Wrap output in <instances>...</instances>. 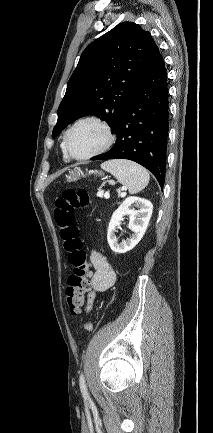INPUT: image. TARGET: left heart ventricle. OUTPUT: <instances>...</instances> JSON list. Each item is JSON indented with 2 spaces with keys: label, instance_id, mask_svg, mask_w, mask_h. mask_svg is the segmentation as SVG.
I'll list each match as a JSON object with an SVG mask.
<instances>
[{
  "label": "left heart ventricle",
  "instance_id": "left-heart-ventricle-1",
  "mask_svg": "<svg viewBox=\"0 0 213 433\" xmlns=\"http://www.w3.org/2000/svg\"><path fill=\"white\" fill-rule=\"evenodd\" d=\"M105 141V133L101 127L92 122L77 126L70 134L69 146L76 156L90 154L100 148Z\"/></svg>",
  "mask_w": 213,
  "mask_h": 433
}]
</instances>
